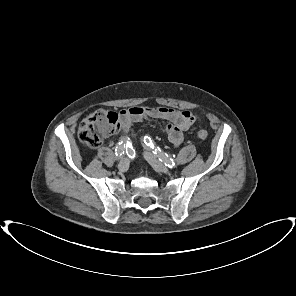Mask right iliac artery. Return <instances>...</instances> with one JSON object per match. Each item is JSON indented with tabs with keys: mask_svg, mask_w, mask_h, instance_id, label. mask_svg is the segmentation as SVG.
<instances>
[{
	"mask_svg": "<svg viewBox=\"0 0 296 296\" xmlns=\"http://www.w3.org/2000/svg\"><path fill=\"white\" fill-rule=\"evenodd\" d=\"M126 144L123 143V141L119 142L116 149H115V154L116 156L120 157L124 154V148H125Z\"/></svg>",
	"mask_w": 296,
	"mask_h": 296,
	"instance_id": "82829eb1",
	"label": "right iliac artery"
}]
</instances>
